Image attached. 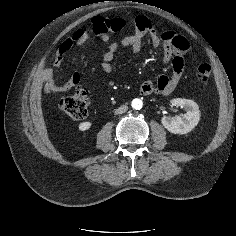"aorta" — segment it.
<instances>
[{
    "instance_id": "aorta-1",
    "label": "aorta",
    "mask_w": 236,
    "mask_h": 236,
    "mask_svg": "<svg viewBox=\"0 0 236 236\" xmlns=\"http://www.w3.org/2000/svg\"><path fill=\"white\" fill-rule=\"evenodd\" d=\"M131 106L135 110H140L143 106V102H142L141 99L135 98V99L132 100Z\"/></svg>"
}]
</instances>
